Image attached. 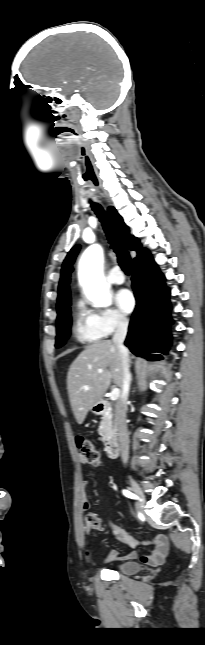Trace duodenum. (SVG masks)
<instances>
[{
  "label": "duodenum",
  "instance_id": "1",
  "mask_svg": "<svg viewBox=\"0 0 205 645\" xmlns=\"http://www.w3.org/2000/svg\"><path fill=\"white\" fill-rule=\"evenodd\" d=\"M108 410L106 403L101 402L97 404L96 411L97 413H105ZM106 454L109 458H116L119 454V442L116 438H111L107 441L105 446Z\"/></svg>",
  "mask_w": 205,
  "mask_h": 645
}]
</instances>
